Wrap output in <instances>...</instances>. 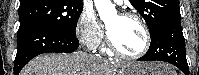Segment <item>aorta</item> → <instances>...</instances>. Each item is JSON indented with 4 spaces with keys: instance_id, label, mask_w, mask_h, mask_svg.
I'll use <instances>...</instances> for the list:
<instances>
[{
    "instance_id": "obj_1",
    "label": "aorta",
    "mask_w": 199,
    "mask_h": 75,
    "mask_svg": "<svg viewBox=\"0 0 199 75\" xmlns=\"http://www.w3.org/2000/svg\"><path fill=\"white\" fill-rule=\"evenodd\" d=\"M99 16L103 21L117 16V11L111 0H94Z\"/></svg>"
}]
</instances>
